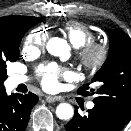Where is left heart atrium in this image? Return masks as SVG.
<instances>
[{
	"label": "left heart atrium",
	"mask_w": 131,
	"mask_h": 131,
	"mask_svg": "<svg viewBox=\"0 0 131 131\" xmlns=\"http://www.w3.org/2000/svg\"><path fill=\"white\" fill-rule=\"evenodd\" d=\"M39 73L42 76V85L47 90H53L58 85L61 77H68L67 70L53 63L43 64L39 67Z\"/></svg>",
	"instance_id": "left-heart-atrium-1"
}]
</instances>
